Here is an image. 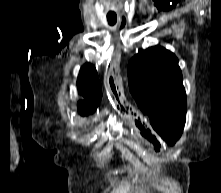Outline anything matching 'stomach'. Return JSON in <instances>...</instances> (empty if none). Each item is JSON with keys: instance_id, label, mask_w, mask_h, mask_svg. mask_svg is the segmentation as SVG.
Instances as JSON below:
<instances>
[{"instance_id": "obj_1", "label": "stomach", "mask_w": 221, "mask_h": 193, "mask_svg": "<svg viewBox=\"0 0 221 193\" xmlns=\"http://www.w3.org/2000/svg\"><path fill=\"white\" fill-rule=\"evenodd\" d=\"M110 103H115L116 109H119L121 115H124L126 123L134 130V137L138 142H148V152L153 155H165L162 150L160 138H164V133H151L152 125L148 120H142V115H137L136 104L129 102V98H110Z\"/></svg>"}]
</instances>
